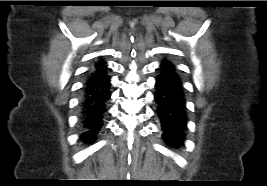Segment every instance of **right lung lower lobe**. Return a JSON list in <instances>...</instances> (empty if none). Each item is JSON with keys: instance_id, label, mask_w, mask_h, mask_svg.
I'll return each instance as SVG.
<instances>
[{"instance_id": "obj_1", "label": "right lung lower lobe", "mask_w": 267, "mask_h": 186, "mask_svg": "<svg viewBox=\"0 0 267 186\" xmlns=\"http://www.w3.org/2000/svg\"><path fill=\"white\" fill-rule=\"evenodd\" d=\"M110 85L106 62L95 63L87 74L79 101V121L85 141H92L103 125L111 97Z\"/></svg>"}]
</instances>
